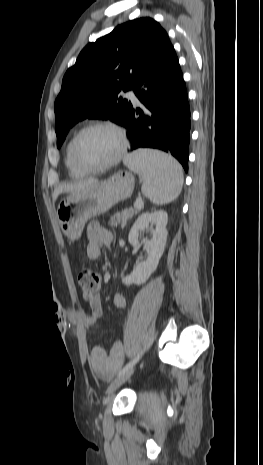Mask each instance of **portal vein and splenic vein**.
Returning <instances> with one entry per match:
<instances>
[{
  "instance_id": "1",
  "label": "portal vein and splenic vein",
  "mask_w": 263,
  "mask_h": 465,
  "mask_svg": "<svg viewBox=\"0 0 263 465\" xmlns=\"http://www.w3.org/2000/svg\"><path fill=\"white\" fill-rule=\"evenodd\" d=\"M143 205L144 204L142 200H136V202L134 203V208L140 210L141 208H143Z\"/></svg>"
}]
</instances>
